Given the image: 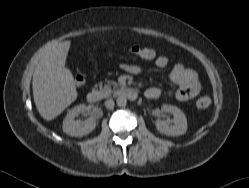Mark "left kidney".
I'll return each instance as SVG.
<instances>
[{
    "mask_svg": "<svg viewBox=\"0 0 249 188\" xmlns=\"http://www.w3.org/2000/svg\"><path fill=\"white\" fill-rule=\"evenodd\" d=\"M161 111L173 114L174 118L170 121H156V128L160 133L167 136H180L186 133L187 119L178 107L164 104L161 107Z\"/></svg>",
    "mask_w": 249,
    "mask_h": 188,
    "instance_id": "obj_1",
    "label": "left kidney"
}]
</instances>
